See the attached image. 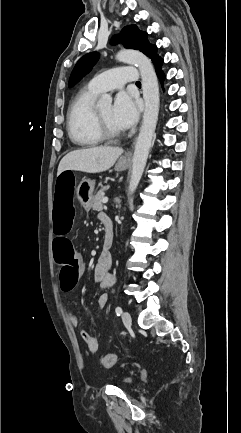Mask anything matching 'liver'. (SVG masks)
Instances as JSON below:
<instances>
[{"mask_svg": "<svg viewBox=\"0 0 241 433\" xmlns=\"http://www.w3.org/2000/svg\"><path fill=\"white\" fill-rule=\"evenodd\" d=\"M123 153L118 147H93L71 151L59 163L58 173L75 170L86 173H100L111 168Z\"/></svg>", "mask_w": 241, "mask_h": 433, "instance_id": "6515ba94", "label": "liver"}]
</instances>
